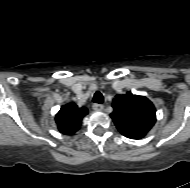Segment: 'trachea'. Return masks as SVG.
I'll use <instances>...</instances> for the list:
<instances>
[{"mask_svg":"<svg viewBox=\"0 0 190 188\" xmlns=\"http://www.w3.org/2000/svg\"><path fill=\"white\" fill-rule=\"evenodd\" d=\"M104 101V98H103V95L101 92L97 91L95 94H94V97H93V102L94 103H98V104H102Z\"/></svg>","mask_w":190,"mask_h":188,"instance_id":"trachea-1","label":"trachea"}]
</instances>
